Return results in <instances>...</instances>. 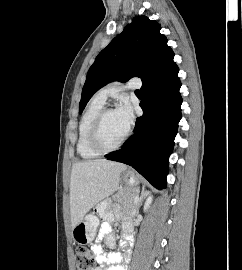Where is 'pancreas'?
Returning a JSON list of instances; mask_svg holds the SVG:
<instances>
[{"instance_id":"obj_1","label":"pancreas","mask_w":242,"mask_h":270,"mask_svg":"<svg viewBox=\"0 0 242 270\" xmlns=\"http://www.w3.org/2000/svg\"><path fill=\"white\" fill-rule=\"evenodd\" d=\"M136 195L137 191H132L129 188H125L116 196V201H118L124 209H133L136 206Z\"/></svg>"}]
</instances>
